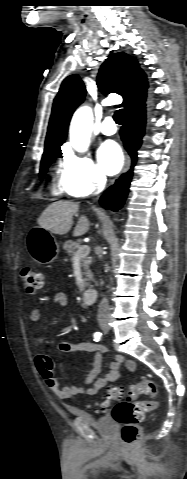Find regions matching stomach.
<instances>
[{"mask_svg": "<svg viewBox=\"0 0 187 479\" xmlns=\"http://www.w3.org/2000/svg\"><path fill=\"white\" fill-rule=\"evenodd\" d=\"M28 253L38 264L52 263L59 254V244L51 232L35 227L26 237Z\"/></svg>", "mask_w": 187, "mask_h": 479, "instance_id": "0dacf381", "label": "stomach"}]
</instances>
